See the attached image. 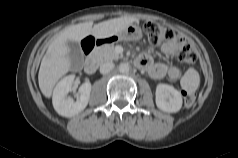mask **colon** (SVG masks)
Instances as JSON below:
<instances>
[{"mask_svg":"<svg viewBox=\"0 0 238 158\" xmlns=\"http://www.w3.org/2000/svg\"><path fill=\"white\" fill-rule=\"evenodd\" d=\"M143 29L148 37V41L153 46H159L164 42L180 39L182 41L181 48L178 53V59L186 64L193 65L197 62V54L193 46L186 42L184 39L178 37L176 32L171 28L155 23L146 22L143 25ZM92 39H87L84 44L91 42ZM184 105L186 107L191 106L194 101L196 94L192 91L183 90L182 91Z\"/></svg>","mask_w":238,"mask_h":158,"instance_id":"obj_1","label":"colon"}]
</instances>
